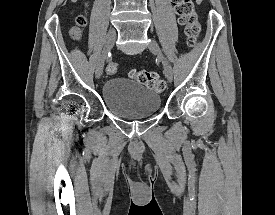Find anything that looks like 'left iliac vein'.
<instances>
[{
  "mask_svg": "<svg viewBox=\"0 0 275 215\" xmlns=\"http://www.w3.org/2000/svg\"><path fill=\"white\" fill-rule=\"evenodd\" d=\"M148 48L149 50L154 53V54H158L161 58L163 67H164V73L166 78L168 79V81H172L173 80V71H172V67L169 64L168 60L162 55L160 47L158 45V43L152 39L150 41V43L148 44Z\"/></svg>",
  "mask_w": 275,
  "mask_h": 215,
  "instance_id": "obj_1",
  "label": "left iliac vein"
}]
</instances>
